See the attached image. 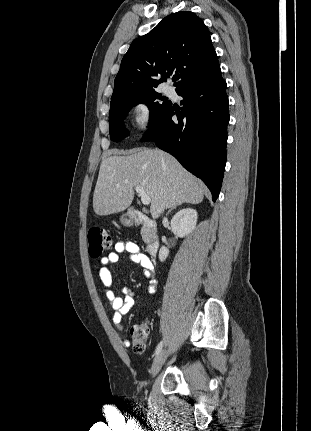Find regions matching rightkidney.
<instances>
[{
	"label": "right kidney",
	"instance_id": "1",
	"mask_svg": "<svg viewBox=\"0 0 311 431\" xmlns=\"http://www.w3.org/2000/svg\"><path fill=\"white\" fill-rule=\"evenodd\" d=\"M198 214L196 210L192 208H185V210H180L171 219V227L174 235L177 237H185L188 233H191L196 227ZM167 255H169L168 247L162 245L159 249V259L164 261Z\"/></svg>",
	"mask_w": 311,
	"mask_h": 431
}]
</instances>
